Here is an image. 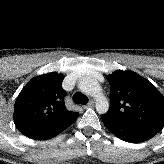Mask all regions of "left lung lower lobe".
Instances as JSON below:
<instances>
[{
  "label": "left lung lower lobe",
  "instance_id": "obj_1",
  "mask_svg": "<svg viewBox=\"0 0 164 164\" xmlns=\"http://www.w3.org/2000/svg\"><path fill=\"white\" fill-rule=\"evenodd\" d=\"M101 118L105 126L116 137L127 142L140 143L149 140L157 134L146 129L126 125L108 114L102 115Z\"/></svg>",
  "mask_w": 164,
  "mask_h": 164
}]
</instances>
